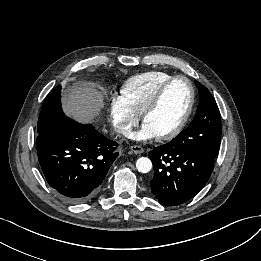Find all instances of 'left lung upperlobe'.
<instances>
[{
  "label": "left lung upper lobe",
  "instance_id": "1",
  "mask_svg": "<svg viewBox=\"0 0 261 261\" xmlns=\"http://www.w3.org/2000/svg\"><path fill=\"white\" fill-rule=\"evenodd\" d=\"M200 102L194 120L172 141L188 148L216 157L221 140V116L219 108L208 89L195 81Z\"/></svg>",
  "mask_w": 261,
  "mask_h": 261
}]
</instances>
